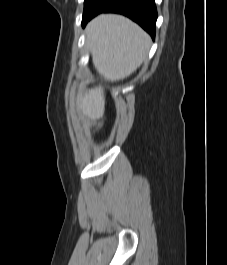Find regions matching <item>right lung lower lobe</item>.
Here are the masks:
<instances>
[{
    "mask_svg": "<svg viewBox=\"0 0 227 265\" xmlns=\"http://www.w3.org/2000/svg\"><path fill=\"white\" fill-rule=\"evenodd\" d=\"M108 12L129 17L155 38L158 15L154 0H105L91 16L82 21V25L85 26L96 15Z\"/></svg>",
    "mask_w": 227,
    "mask_h": 265,
    "instance_id": "1",
    "label": "right lung lower lobe"
}]
</instances>
